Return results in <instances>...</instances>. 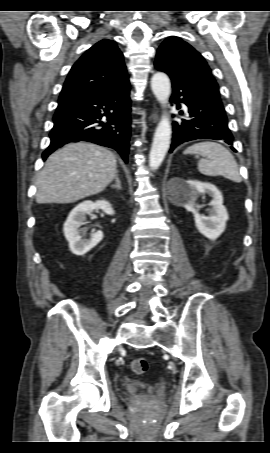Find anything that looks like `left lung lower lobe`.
Returning <instances> with one entry per match:
<instances>
[{
  "label": "left lung lower lobe",
  "mask_w": 270,
  "mask_h": 453,
  "mask_svg": "<svg viewBox=\"0 0 270 453\" xmlns=\"http://www.w3.org/2000/svg\"><path fill=\"white\" fill-rule=\"evenodd\" d=\"M156 68L162 71L158 67ZM171 80L173 88L171 101L182 96L179 102L187 105L189 120L173 122V139L169 152L171 153L178 145L195 139L223 140L227 144L233 145V136L228 128L222 102L202 95L174 78ZM177 108H180V105ZM231 149L236 151L232 146Z\"/></svg>",
  "instance_id": "1"
}]
</instances>
